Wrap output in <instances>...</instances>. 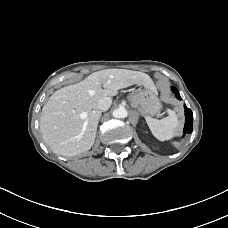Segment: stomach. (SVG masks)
<instances>
[{
  "label": "stomach",
  "mask_w": 228,
  "mask_h": 228,
  "mask_svg": "<svg viewBox=\"0 0 228 228\" xmlns=\"http://www.w3.org/2000/svg\"><path fill=\"white\" fill-rule=\"evenodd\" d=\"M128 100L133 108L144 115L154 116L161 110V103L155 90L139 89L136 93H132Z\"/></svg>",
  "instance_id": "0dacf381"
}]
</instances>
